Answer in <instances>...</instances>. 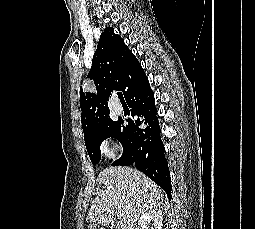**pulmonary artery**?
Returning a JSON list of instances; mask_svg holds the SVG:
<instances>
[{
    "label": "pulmonary artery",
    "instance_id": "pulmonary-artery-1",
    "mask_svg": "<svg viewBox=\"0 0 255 229\" xmlns=\"http://www.w3.org/2000/svg\"><path fill=\"white\" fill-rule=\"evenodd\" d=\"M113 109H114L115 113H117V114H122L123 113V108L119 104H114Z\"/></svg>",
    "mask_w": 255,
    "mask_h": 229
}]
</instances>
